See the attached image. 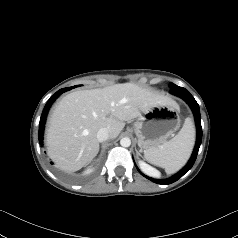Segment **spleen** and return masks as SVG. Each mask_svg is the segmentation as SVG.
<instances>
[{
	"mask_svg": "<svg viewBox=\"0 0 238 238\" xmlns=\"http://www.w3.org/2000/svg\"><path fill=\"white\" fill-rule=\"evenodd\" d=\"M195 141V129L190 118L185 119L178 134L169 141L144 150L145 159L172 174L182 168L189 159Z\"/></svg>",
	"mask_w": 238,
	"mask_h": 238,
	"instance_id": "3e777b00",
	"label": "spleen"
}]
</instances>
